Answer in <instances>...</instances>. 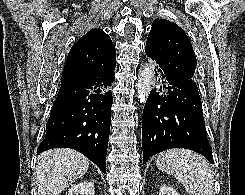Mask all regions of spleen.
<instances>
[{
    "instance_id": "obj_1",
    "label": "spleen",
    "mask_w": 245,
    "mask_h": 195,
    "mask_svg": "<svg viewBox=\"0 0 245 195\" xmlns=\"http://www.w3.org/2000/svg\"><path fill=\"white\" fill-rule=\"evenodd\" d=\"M156 165L175 177L190 195H213V172L203 156L186 149H171L158 156Z\"/></svg>"
}]
</instances>
